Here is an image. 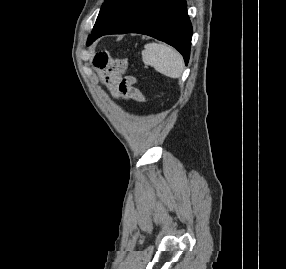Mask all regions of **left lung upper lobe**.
<instances>
[{"label":"left lung upper lobe","instance_id":"left-lung-upper-lobe-1","mask_svg":"<svg viewBox=\"0 0 286 269\" xmlns=\"http://www.w3.org/2000/svg\"><path fill=\"white\" fill-rule=\"evenodd\" d=\"M142 1L143 0H106L101 7L92 30V35H89L87 44L92 41L98 32L116 24Z\"/></svg>","mask_w":286,"mask_h":269}]
</instances>
